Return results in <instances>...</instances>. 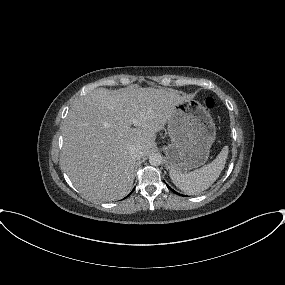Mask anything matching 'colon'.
<instances>
[{"label":"colon","mask_w":285,"mask_h":285,"mask_svg":"<svg viewBox=\"0 0 285 285\" xmlns=\"http://www.w3.org/2000/svg\"><path fill=\"white\" fill-rule=\"evenodd\" d=\"M205 106L207 108H212L214 106V99L212 97H207L205 99Z\"/></svg>","instance_id":"obj_1"}]
</instances>
